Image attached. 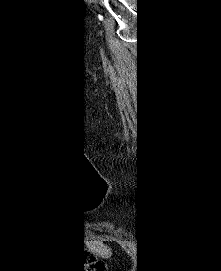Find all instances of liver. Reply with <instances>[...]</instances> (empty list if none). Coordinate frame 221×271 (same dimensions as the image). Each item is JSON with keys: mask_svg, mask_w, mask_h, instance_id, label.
Returning a JSON list of instances; mask_svg holds the SVG:
<instances>
[{"mask_svg": "<svg viewBox=\"0 0 221 271\" xmlns=\"http://www.w3.org/2000/svg\"><path fill=\"white\" fill-rule=\"evenodd\" d=\"M97 249L102 257H111L112 255L111 247L108 245H98Z\"/></svg>", "mask_w": 221, "mask_h": 271, "instance_id": "liver-1", "label": "liver"}]
</instances>
